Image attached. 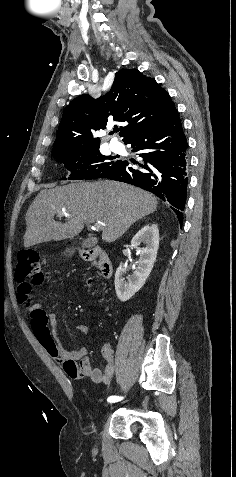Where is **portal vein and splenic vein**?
Masks as SVG:
<instances>
[{"label":"portal vein and splenic vein","mask_w":236,"mask_h":477,"mask_svg":"<svg viewBox=\"0 0 236 477\" xmlns=\"http://www.w3.org/2000/svg\"><path fill=\"white\" fill-rule=\"evenodd\" d=\"M59 216H60V217H61V216L70 217L71 215L63 211V212H61V213L59 214ZM102 226H103L102 223L97 222V223H95V224L92 226V229H94V230H99V229L102 228Z\"/></svg>","instance_id":"1"}]
</instances>
